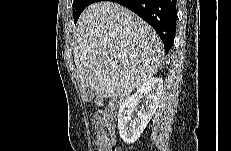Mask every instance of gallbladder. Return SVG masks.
Instances as JSON below:
<instances>
[{"instance_id":"gallbladder-1","label":"gallbladder","mask_w":231,"mask_h":151,"mask_svg":"<svg viewBox=\"0 0 231 151\" xmlns=\"http://www.w3.org/2000/svg\"><path fill=\"white\" fill-rule=\"evenodd\" d=\"M85 96H86L88 101H91L94 98L95 95H94V92L90 86H87L85 88Z\"/></svg>"}]
</instances>
